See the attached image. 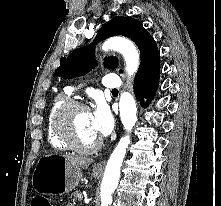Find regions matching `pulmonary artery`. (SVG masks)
I'll return each instance as SVG.
<instances>
[{
    "label": "pulmonary artery",
    "mask_w": 221,
    "mask_h": 206,
    "mask_svg": "<svg viewBox=\"0 0 221 206\" xmlns=\"http://www.w3.org/2000/svg\"><path fill=\"white\" fill-rule=\"evenodd\" d=\"M101 84L106 88L117 90L121 87V79L116 74H107L101 79ZM73 89L69 88L68 93H72Z\"/></svg>",
    "instance_id": "pulmonary-artery-1"
}]
</instances>
